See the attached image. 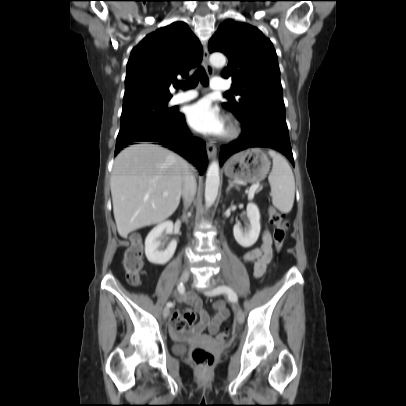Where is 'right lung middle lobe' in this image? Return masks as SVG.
Listing matches in <instances>:
<instances>
[{"instance_id": "dd1d6c3e", "label": "right lung middle lobe", "mask_w": 406, "mask_h": 406, "mask_svg": "<svg viewBox=\"0 0 406 406\" xmlns=\"http://www.w3.org/2000/svg\"><path fill=\"white\" fill-rule=\"evenodd\" d=\"M169 100H143L123 106L118 137L154 130L171 123L177 111L167 107Z\"/></svg>"}]
</instances>
